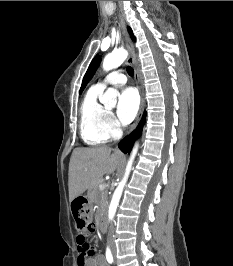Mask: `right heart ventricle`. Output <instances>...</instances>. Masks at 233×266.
Masks as SVG:
<instances>
[{
    "label": "right heart ventricle",
    "instance_id": "right-heart-ventricle-1",
    "mask_svg": "<svg viewBox=\"0 0 233 266\" xmlns=\"http://www.w3.org/2000/svg\"><path fill=\"white\" fill-rule=\"evenodd\" d=\"M103 89L94 85L88 89L80 107V134L88 145H99L107 141L105 120L108 111L98 98Z\"/></svg>",
    "mask_w": 233,
    "mask_h": 266
}]
</instances>
